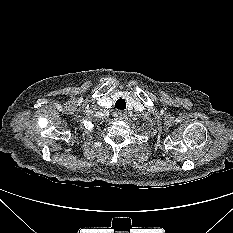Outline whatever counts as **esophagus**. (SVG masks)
Listing matches in <instances>:
<instances>
[{
  "label": "esophagus",
  "instance_id": "obj_1",
  "mask_svg": "<svg viewBox=\"0 0 233 233\" xmlns=\"http://www.w3.org/2000/svg\"><path fill=\"white\" fill-rule=\"evenodd\" d=\"M117 116H118V118H119L120 120H122V119L125 118V112L120 111V112H118Z\"/></svg>",
  "mask_w": 233,
  "mask_h": 233
}]
</instances>
